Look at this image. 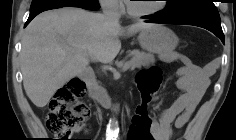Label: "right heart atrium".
Wrapping results in <instances>:
<instances>
[{
	"label": "right heart atrium",
	"instance_id": "obj_1",
	"mask_svg": "<svg viewBox=\"0 0 236 140\" xmlns=\"http://www.w3.org/2000/svg\"><path fill=\"white\" fill-rule=\"evenodd\" d=\"M102 8L111 14L120 15L124 12L121 0H100Z\"/></svg>",
	"mask_w": 236,
	"mask_h": 140
}]
</instances>
